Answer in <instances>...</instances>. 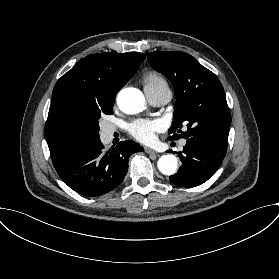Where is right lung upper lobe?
<instances>
[{
    "label": "right lung upper lobe",
    "mask_w": 279,
    "mask_h": 279,
    "mask_svg": "<svg viewBox=\"0 0 279 279\" xmlns=\"http://www.w3.org/2000/svg\"><path fill=\"white\" fill-rule=\"evenodd\" d=\"M144 59L142 53L89 55L57 81L45 126L55 168L96 142L78 129L85 104L115 98Z\"/></svg>",
    "instance_id": "cb5924a9"
}]
</instances>
